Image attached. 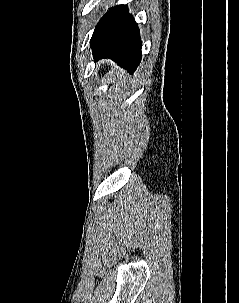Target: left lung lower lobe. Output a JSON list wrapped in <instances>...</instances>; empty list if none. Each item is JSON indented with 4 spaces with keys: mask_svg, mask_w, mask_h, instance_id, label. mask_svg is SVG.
<instances>
[{
    "mask_svg": "<svg viewBox=\"0 0 239 303\" xmlns=\"http://www.w3.org/2000/svg\"><path fill=\"white\" fill-rule=\"evenodd\" d=\"M90 44L95 61L111 58L130 73L141 61L139 28L125 5L107 12L94 30Z\"/></svg>",
    "mask_w": 239,
    "mask_h": 303,
    "instance_id": "obj_1",
    "label": "left lung lower lobe"
}]
</instances>
